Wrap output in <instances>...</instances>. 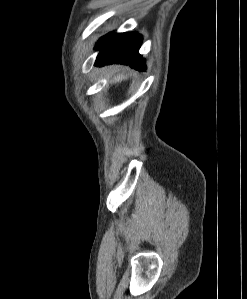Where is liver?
<instances>
[{
	"mask_svg": "<svg viewBox=\"0 0 247 299\" xmlns=\"http://www.w3.org/2000/svg\"><path fill=\"white\" fill-rule=\"evenodd\" d=\"M122 79H124L123 75H119L115 78V82H120Z\"/></svg>",
	"mask_w": 247,
	"mask_h": 299,
	"instance_id": "6515ba94",
	"label": "liver"
}]
</instances>
